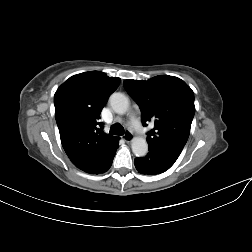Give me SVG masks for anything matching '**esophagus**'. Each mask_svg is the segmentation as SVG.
<instances>
[{"mask_svg":"<svg viewBox=\"0 0 252 252\" xmlns=\"http://www.w3.org/2000/svg\"><path fill=\"white\" fill-rule=\"evenodd\" d=\"M124 140L126 142H131L133 140V135L130 132H126L123 136Z\"/></svg>","mask_w":252,"mask_h":252,"instance_id":"1","label":"esophagus"}]
</instances>
